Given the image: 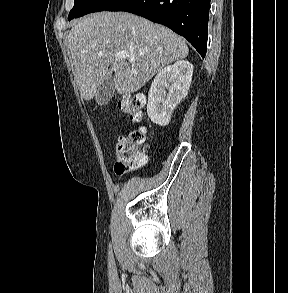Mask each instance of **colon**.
<instances>
[{"label":"colon","instance_id":"1","mask_svg":"<svg viewBox=\"0 0 288 293\" xmlns=\"http://www.w3.org/2000/svg\"><path fill=\"white\" fill-rule=\"evenodd\" d=\"M145 104L144 96L140 93L129 94L120 101V109L131 120L139 121ZM146 144V129L140 127L128 136L120 137L115 150V172L123 175L144 165L143 147Z\"/></svg>","mask_w":288,"mask_h":293}]
</instances>
